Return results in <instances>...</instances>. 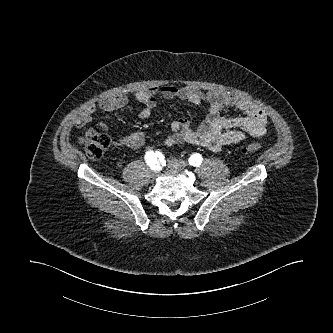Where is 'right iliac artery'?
Instances as JSON below:
<instances>
[{
  "label": "right iliac artery",
  "mask_w": 333,
  "mask_h": 333,
  "mask_svg": "<svg viewBox=\"0 0 333 333\" xmlns=\"http://www.w3.org/2000/svg\"><path fill=\"white\" fill-rule=\"evenodd\" d=\"M146 163L150 166L152 170H159L160 163L164 161V156L161 152L156 151H147L145 154Z\"/></svg>",
  "instance_id": "82829eb1"
}]
</instances>
